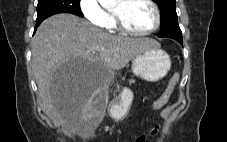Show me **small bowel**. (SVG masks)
Instances as JSON below:
<instances>
[{"mask_svg": "<svg viewBox=\"0 0 227 142\" xmlns=\"http://www.w3.org/2000/svg\"><path fill=\"white\" fill-rule=\"evenodd\" d=\"M158 129H159V127L155 126L148 135H145V134L139 135L136 138V142H146L147 138L155 135L157 133Z\"/></svg>", "mask_w": 227, "mask_h": 142, "instance_id": "obj_1", "label": "small bowel"}]
</instances>
